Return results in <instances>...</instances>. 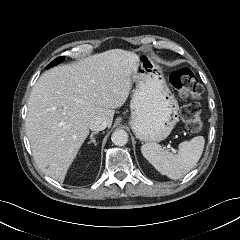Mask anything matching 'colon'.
Listing matches in <instances>:
<instances>
[{
  "mask_svg": "<svg viewBox=\"0 0 240 240\" xmlns=\"http://www.w3.org/2000/svg\"><path fill=\"white\" fill-rule=\"evenodd\" d=\"M170 82L181 99L187 103L181 109V118L187 130L196 134L202 130L203 120L199 100L203 87L194 73L188 68H180L170 75Z\"/></svg>",
  "mask_w": 240,
  "mask_h": 240,
  "instance_id": "1",
  "label": "colon"
}]
</instances>
